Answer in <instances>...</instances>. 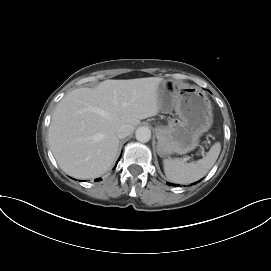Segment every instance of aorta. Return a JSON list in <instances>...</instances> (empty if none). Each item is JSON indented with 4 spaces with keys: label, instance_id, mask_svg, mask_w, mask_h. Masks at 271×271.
<instances>
[{
    "label": "aorta",
    "instance_id": "obj_1",
    "mask_svg": "<svg viewBox=\"0 0 271 271\" xmlns=\"http://www.w3.org/2000/svg\"><path fill=\"white\" fill-rule=\"evenodd\" d=\"M135 137L137 141L146 143L151 139V131L148 127H139L135 132Z\"/></svg>",
    "mask_w": 271,
    "mask_h": 271
}]
</instances>
